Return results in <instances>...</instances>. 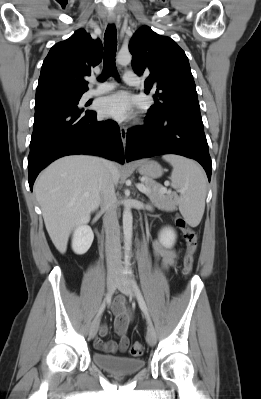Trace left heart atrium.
<instances>
[{
    "label": "left heart atrium",
    "mask_w": 261,
    "mask_h": 399,
    "mask_svg": "<svg viewBox=\"0 0 261 399\" xmlns=\"http://www.w3.org/2000/svg\"><path fill=\"white\" fill-rule=\"evenodd\" d=\"M97 107L101 115L118 121L128 119L132 115L130 97L124 92L101 98Z\"/></svg>",
    "instance_id": "1"
}]
</instances>
